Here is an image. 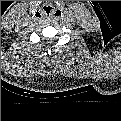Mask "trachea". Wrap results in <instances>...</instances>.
<instances>
[{
  "mask_svg": "<svg viewBox=\"0 0 121 121\" xmlns=\"http://www.w3.org/2000/svg\"><path fill=\"white\" fill-rule=\"evenodd\" d=\"M42 14L46 17H52L54 14V9L49 4H44L41 7Z\"/></svg>",
  "mask_w": 121,
  "mask_h": 121,
  "instance_id": "3493384b",
  "label": "trachea"
}]
</instances>
